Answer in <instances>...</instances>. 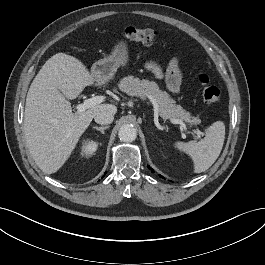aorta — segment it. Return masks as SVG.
<instances>
[{
	"instance_id": "762f6f07",
	"label": "aorta",
	"mask_w": 265,
	"mask_h": 265,
	"mask_svg": "<svg viewBox=\"0 0 265 265\" xmlns=\"http://www.w3.org/2000/svg\"><path fill=\"white\" fill-rule=\"evenodd\" d=\"M119 138L124 142H132L137 137L136 128L130 124H124L119 129Z\"/></svg>"
}]
</instances>
